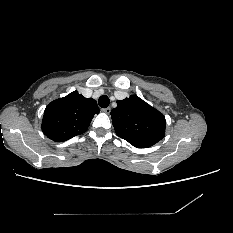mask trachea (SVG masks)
I'll use <instances>...</instances> for the list:
<instances>
[{"label":"trachea","mask_w":233,"mask_h":233,"mask_svg":"<svg viewBox=\"0 0 233 233\" xmlns=\"http://www.w3.org/2000/svg\"><path fill=\"white\" fill-rule=\"evenodd\" d=\"M98 104L102 108L108 107L110 104V100H109L108 96H106V95L101 96L98 100Z\"/></svg>","instance_id":"obj_1"}]
</instances>
